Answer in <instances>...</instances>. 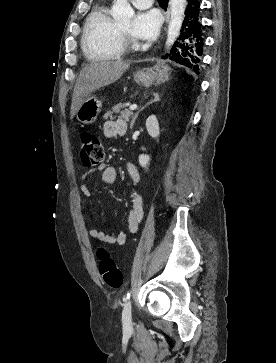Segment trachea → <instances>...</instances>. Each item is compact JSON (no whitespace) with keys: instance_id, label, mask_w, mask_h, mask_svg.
<instances>
[{"instance_id":"obj_1","label":"trachea","mask_w":276,"mask_h":363,"mask_svg":"<svg viewBox=\"0 0 276 363\" xmlns=\"http://www.w3.org/2000/svg\"><path fill=\"white\" fill-rule=\"evenodd\" d=\"M160 5H167L168 4V0H158Z\"/></svg>"}]
</instances>
